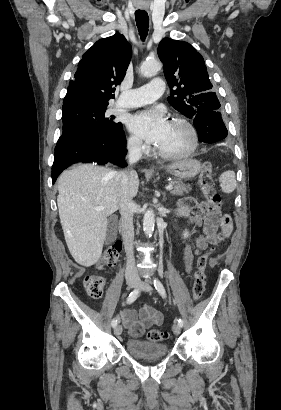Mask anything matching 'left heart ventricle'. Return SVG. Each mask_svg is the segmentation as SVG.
Wrapping results in <instances>:
<instances>
[{"label":"left heart ventricle","instance_id":"b2bd125f","mask_svg":"<svg viewBox=\"0 0 281 410\" xmlns=\"http://www.w3.org/2000/svg\"><path fill=\"white\" fill-rule=\"evenodd\" d=\"M190 143L191 135L187 128L170 121L162 140L157 146L163 151L175 153L187 149Z\"/></svg>","mask_w":281,"mask_h":410}]
</instances>
